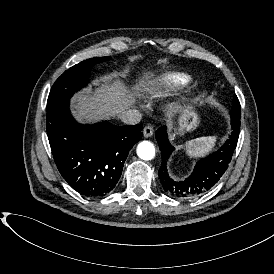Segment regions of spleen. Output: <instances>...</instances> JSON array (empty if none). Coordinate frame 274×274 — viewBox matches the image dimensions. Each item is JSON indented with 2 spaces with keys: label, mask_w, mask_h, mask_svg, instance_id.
I'll return each mask as SVG.
<instances>
[{
  "label": "spleen",
  "mask_w": 274,
  "mask_h": 274,
  "mask_svg": "<svg viewBox=\"0 0 274 274\" xmlns=\"http://www.w3.org/2000/svg\"><path fill=\"white\" fill-rule=\"evenodd\" d=\"M217 137H199L185 142V151L190 158H199L208 154L215 147Z\"/></svg>",
  "instance_id": "obj_1"
}]
</instances>
